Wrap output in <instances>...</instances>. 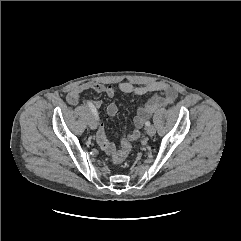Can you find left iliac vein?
I'll use <instances>...</instances> for the list:
<instances>
[{"instance_id":"4c4485c4","label":"left iliac vein","mask_w":241,"mask_h":241,"mask_svg":"<svg viewBox=\"0 0 241 241\" xmlns=\"http://www.w3.org/2000/svg\"><path fill=\"white\" fill-rule=\"evenodd\" d=\"M146 132L149 136H153L156 133V129L154 126L150 125L146 128Z\"/></svg>"}]
</instances>
